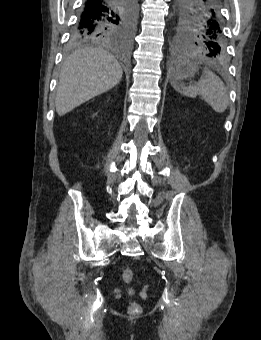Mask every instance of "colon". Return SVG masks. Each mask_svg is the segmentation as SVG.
I'll use <instances>...</instances> for the list:
<instances>
[{
  "instance_id": "colon-1",
  "label": "colon",
  "mask_w": 261,
  "mask_h": 340,
  "mask_svg": "<svg viewBox=\"0 0 261 340\" xmlns=\"http://www.w3.org/2000/svg\"><path fill=\"white\" fill-rule=\"evenodd\" d=\"M121 277L126 285H132L134 280V273L130 268H123L121 271ZM128 310L130 313L137 314L141 312V306L139 305V303L131 301L129 303Z\"/></svg>"
}]
</instances>
